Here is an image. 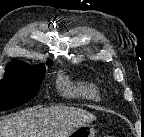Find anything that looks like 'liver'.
Here are the masks:
<instances>
[{"label": "liver", "mask_w": 144, "mask_h": 137, "mask_svg": "<svg viewBox=\"0 0 144 137\" xmlns=\"http://www.w3.org/2000/svg\"><path fill=\"white\" fill-rule=\"evenodd\" d=\"M95 119L92 113L76 107H33L0 120V137H68Z\"/></svg>", "instance_id": "1"}]
</instances>
